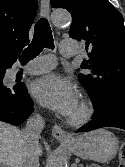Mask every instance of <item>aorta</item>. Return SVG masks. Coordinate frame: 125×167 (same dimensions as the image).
Instances as JSON below:
<instances>
[{"label":"aorta","instance_id":"762f6f07","mask_svg":"<svg viewBox=\"0 0 125 167\" xmlns=\"http://www.w3.org/2000/svg\"><path fill=\"white\" fill-rule=\"evenodd\" d=\"M52 22L59 28L66 27L71 22V16L66 11H54L52 13ZM68 152L65 148H58L51 161L50 167H67L68 164Z\"/></svg>","mask_w":125,"mask_h":167}]
</instances>
